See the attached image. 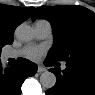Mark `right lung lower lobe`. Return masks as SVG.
I'll return each mask as SVG.
<instances>
[{"instance_id": "1", "label": "right lung lower lobe", "mask_w": 95, "mask_h": 95, "mask_svg": "<svg viewBox=\"0 0 95 95\" xmlns=\"http://www.w3.org/2000/svg\"><path fill=\"white\" fill-rule=\"evenodd\" d=\"M37 66L27 59H19L13 68L2 69L0 63V95H20L24 80L33 76Z\"/></svg>"}]
</instances>
